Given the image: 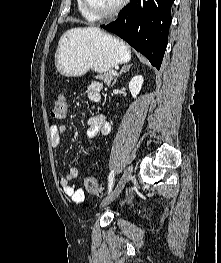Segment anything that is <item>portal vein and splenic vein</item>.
<instances>
[{
    "label": "portal vein and splenic vein",
    "mask_w": 221,
    "mask_h": 263,
    "mask_svg": "<svg viewBox=\"0 0 221 263\" xmlns=\"http://www.w3.org/2000/svg\"><path fill=\"white\" fill-rule=\"evenodd\" d=\"M112 75H113V76H116V75H117V72H116V71H113V72H112Z\"/></svg>",
    "instance_id": "portal-vein-and-splenic-vein-1"
}]
</instances>
